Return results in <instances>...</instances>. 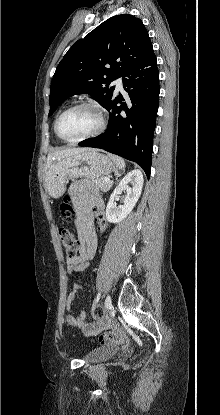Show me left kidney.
<instances>
[{
  "label": "left kidney",
  "instance_id": "5707ae66",
  "mask_svg": "<svg viewBox=\"0 0 220 415\" xmlns=\"http://www.w3.org/2000/svg\"><path fill=\"white\" fill-rule=\"evenodd\" d=\"M143 183V174L139 169H134L124 176L111 194L106 207V217L110 223H119L130 214L141 195ZM129 184L132 187H129ZM123 191H126L124 205L116 207L114 198Z\"/></svg>",
  "mask_w": 220,
  "mask_h": 415
}]
</instances>
